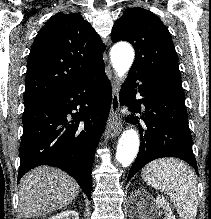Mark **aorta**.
<instances>
[{"label":"aorta","mask_w":211,"mask_h":219,"mask_svg":"<svg viewBox=\"0 0 211 219\" xmlns=\"http://www.w3.org/2000/svg\"><path fill=\"white\" fill-rule=\"evenodd\" d=\"M134 59L131 45L120 43L111 50V62L117 75L122 78L130 69ZM140 140L134 129L124 131L119 139L116 151V160L123 166H129L135 159L139 150Z\"/></svg>","instance_id":"obj_1"}]
</instances>
